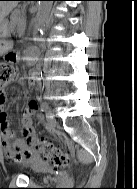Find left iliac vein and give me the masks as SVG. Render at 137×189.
Masks as SVG:
<instances>
[{"label":"left iliac vein","mask_w":137,"mask_h":189,"mask_svg":"<svg viewBox=\"0 0 137 189\" xmlns=\"http://www.w3.org/2000/svg\"><path fill=\"white\" fill-rule=\"evenodd\" d=\"M46 118H47L49 127H53L56 123V120H55V116L52 110H47Z\"/></svg>","instance_id":"obj_1"}]
</instances>
